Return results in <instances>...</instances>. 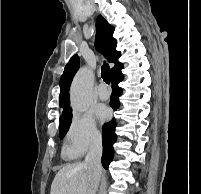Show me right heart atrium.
I'll return each mask as SVG.
<instances>
[{
    "label": "right heart atrium",
    "mask_w": 201,
    "mask_h": 194,
    "mask_svg": "<svg viewBox=\"0 0 201 194\" xmlns=\"http://www.w3.org/2000/svg\"><path fill=\"white\" fill-rule=\"evenodd\" d=\"M100 141L101 134L93 116L89 113H74L65 136V154L81 156L98 146Z\"/></svg>",
    "instance_id": "obj_1"
}]
</instances>
